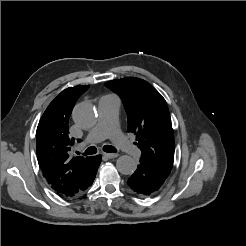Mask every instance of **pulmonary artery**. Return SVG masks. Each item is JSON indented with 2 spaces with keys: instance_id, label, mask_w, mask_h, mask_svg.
Instances as JSON below:
<instances>
[{
  "instance_id": "obj_1",
  "label": "pulmonary artery",
  "mask_w": 246,
  "mask_h": 246,
  "mask_svg": "<svg viewBox=\"0 0 246 246\" xmlns=\"http://www.w3.org/2000/svg\"><path fill=\"white\" fill-rule=\"evenodd\" d=\"M120 99L115 95H104L98 102V120L96 125L89 131L86 143L100 142L106 138L134 159L141 155L140 149L133 145L118 128V111Z\"/></svg>"
}]
</instances>
